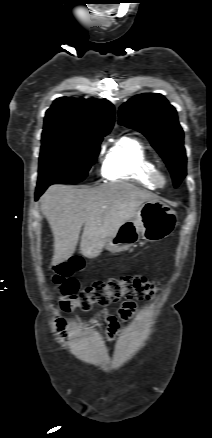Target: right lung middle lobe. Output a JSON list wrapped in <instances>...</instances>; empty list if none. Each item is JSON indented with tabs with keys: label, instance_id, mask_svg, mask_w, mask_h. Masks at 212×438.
Listing matches in <instances>:
<instances>
[{
	"label": "right lung middle lobe",
	"instance_id": "right-lung-middle-lobe-1",
	"mask_svg": "<svg viewBox=\"0 0 212 438\" xmlns=\"http://www.w3.org/2000/svg\"><path fill=\"white\" fill-rule=\"evenodd\" d=\"M105 135L42 134L38 185L77 183L87 176Z\"/></svg>",
	"mask_w": 212,
	"mask_h": 438
}]
</instances>
